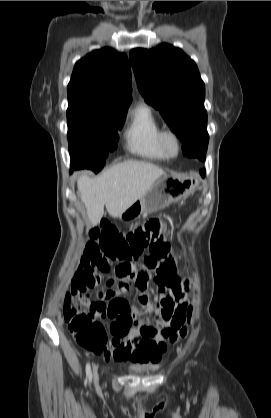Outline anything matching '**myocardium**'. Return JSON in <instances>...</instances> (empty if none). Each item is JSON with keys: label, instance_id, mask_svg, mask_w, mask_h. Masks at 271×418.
Returning <instances> with one entry per match:
<instances>
[{"label": "myocardium", "instance_id": "f54148a6", "mask_svg": "<svg viewBox=\"0 0 271 418\" xmlns=\"http://www.w3.org/2000/svg\"><path fill=\"white\" fill-rule=\"evenodd\" d=\"M173 143V148L169 146V142ZM159 145L168 157H176L181 148L180 138L178 134L170 129L162 130L159 134Z\"/></svg>", "mask_w": 271, "mask_h": 418}]
</instances>
